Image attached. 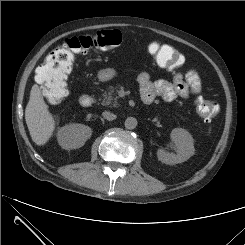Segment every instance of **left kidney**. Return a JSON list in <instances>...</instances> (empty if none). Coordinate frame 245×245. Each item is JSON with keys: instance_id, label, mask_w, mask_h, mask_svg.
<instances>
[{"instance_id": "1", "label": "left kidney", "mask_w": 245, "mask_h": 245, "mask_svg": "<svg viewBox=\"0 0 245 245\" xmlns=\"http://www.w3.org/2000/svg\"><path fill=\"white\" fill-rule=\"evenodd\" d=\"M170 136L172 140L171 146H174L173 148L176 149V153H169L164 149H159L157 151L159 161L168 165H174L182 163L193 156L195 151L194 139L188 131L182 128H175Z\"/></svg>"}]
</instances>
